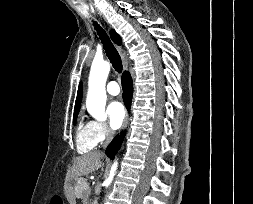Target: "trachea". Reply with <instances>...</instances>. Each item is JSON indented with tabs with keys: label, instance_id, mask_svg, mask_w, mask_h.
I'll list each match as a JSON object with an SVG mask.
<instances>
[{
	"label": "trachea",
	"instance_id": "obj_1",
	"mask_svg": "<svg viewBox=\"0 0 253 204\" xmlns=\"http://www.w3.org/2000/svg\"><path fill=\"white\" fill-rule=\"evenodd\" d=\"M94 26H95V29L97 30V34L99 35V38L103 44V48L113 68L118 73H121L123 66H122V61H121L119 53L117 52L116 48L112 44L111 40L109 39L104 29L99 24H97V22H94Z\"/></svg>",
	"mask_w": 253,
	"mask_h": 204
}]
</instances>
